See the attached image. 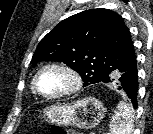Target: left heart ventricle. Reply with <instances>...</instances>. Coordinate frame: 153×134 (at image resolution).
Masks as SVG:
<instances>
[{
	"label": "left heart ventricle",
	"instance_id": "obj_1",
	"mask_svg": "<svg viewBox=\"0 0 153 134\" xmlns=\"http://www.w3.org/2000/svg\"><path fill=\"white\" fill-rule=\"evenodd\" d=\"M38 88L46 94H53L63 91L70 85V80L59 70H46L38 78Z\"/></svg>",
	"mask_w": 153,
	"mask_h": 134
}]
</instances>
